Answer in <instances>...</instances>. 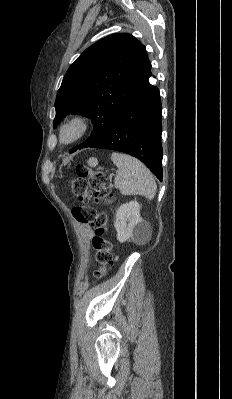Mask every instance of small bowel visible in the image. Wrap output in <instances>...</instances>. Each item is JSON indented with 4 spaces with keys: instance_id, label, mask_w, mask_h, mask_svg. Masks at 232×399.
Returning <instances> with one entry per match:
<instances>
[{
    "instance_id": "small-bowel-1",
    "label": "small bowel",
    "mask_w": 232,
    "mask_h": 399,
    "mask_svg": "<svg viewBox=\"0 0 232 399\" xmlns=\"http://www.w3.org/2000/svg\"><path fill=\"white\" fill-rule=\"evenodd\" d=\"M81 232H82V236H83V240H84L85 244L87 246H89L90 240L93 237L92 230L87 226H82Z\"/></svg>"
}]
</instances>
